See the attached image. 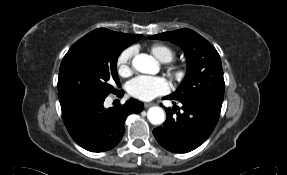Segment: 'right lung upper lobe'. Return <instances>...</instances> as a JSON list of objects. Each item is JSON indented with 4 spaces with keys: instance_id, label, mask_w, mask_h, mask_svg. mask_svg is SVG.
<instances>
[{
    "instance_id": "obj_1",
    "label": "right lung upper lobe",
    "mask_w": 287,
    "mask_h": 175,
    "mask_svg": "<svg viewBox=\"0 0 287 175\" xmlns=\"http://www.w3.org/2000/svg\"><path fill=\"white\" fill-rule=\"evenodd\" d=\"M95 31L100 32V33H114V34H118V35L124 36L126 38H130V39H136V38H139L142 36V35H129V34H123V33H119V32H113V31H110V30L104 29V28L97 29Z\"/></svg>"
}]
</instances>
